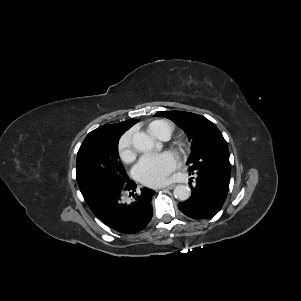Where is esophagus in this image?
<instances>
[{
    "mask_svg": "<svg viewBox=\"0 0 301 301\" xmlns=\"http://www.w3.org/2000/svg\"><path fill=\"white\" fill-rule=\"evenodd\" d=\"M175 187V184H170V185H167V186H164L162 187V189H168V190H171Z\"/></svg>",
    "mask_w": 301,
    "mask_h": 301,
    "instance_id": "obj_1",
    "label": "esophagus"
}]
</instances>
